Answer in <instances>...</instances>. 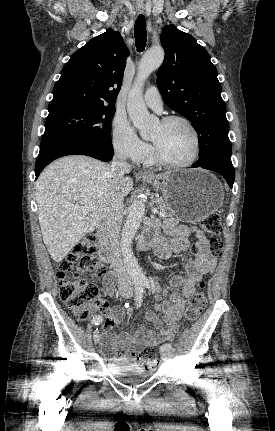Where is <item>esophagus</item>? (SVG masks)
<instances>
[{"mask_svg":"<svg viewBox=\"0 0 275 431\" xmlns=\"http://www.w3.org/2000/svg\"><path fill=\"white\" fill-rule=\"evenodd\" d=\"M137 11L139 13H144V9L143 8H137ZM139 174L140 175H149L150 173L149 172H145V171H139Z\"/></svg>","mask_w":275,"mask_h":431,"instance_id":"obj_1","label":"esophagus"}]
</instances>
